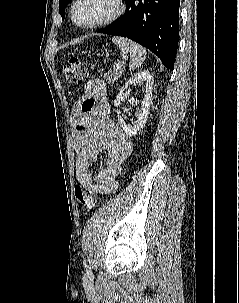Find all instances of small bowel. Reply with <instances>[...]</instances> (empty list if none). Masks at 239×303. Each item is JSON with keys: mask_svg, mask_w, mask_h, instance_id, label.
<instances>
[{"mask_svg": "<svg viewBox=\"0 0 239 303\" xmlns=\"http://www.w3.org/2000/svg\"><path fill=\"white\" fill-rule=\"evenodd\" d=\"M74 146L77 153L76 179L81 186L100 194H110L118 186L122 165L133 150L131 138L114 122L100 79H90L74 107ZM107 153L105 167L93 181L90 163Z\"/></svg>", "mask_w": 239, "mask_h": 303, "instance_id": "obj_1", "label": "small bowel"}]
</instances>
